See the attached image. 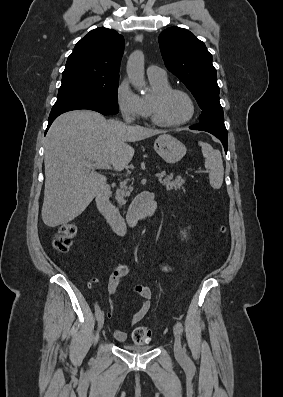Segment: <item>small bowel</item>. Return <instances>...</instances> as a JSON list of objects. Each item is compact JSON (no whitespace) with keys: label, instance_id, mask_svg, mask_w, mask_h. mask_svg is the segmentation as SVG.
<instances>
[{"label":"small bowel","instance_id":"c3829d8e","mask_svg":"<svg viewBox=\"0 0 283 397\" xmlns=\"http://www.w3.org/2000/svg\"><path fill=\"white\" fill-rule=\"evenodd\" d=\"M167 269V267H165ZM129 273V267L127 264L119 265L111 274L110 280L108 282V292L110 294L116 293L119 290L121 280ZM97 282V280H93ZM132 291L142 298V302L137 309V311L132 315L130 319V325H135L140 322L149 312L151 308V300L153 297V291L149 286L136 284L132 287ZM113 313V306H110L107 310L108 316ZM114 338L119 342H124L127 339V332L124 330H115Z\"/></svg>","mask_w":283,"mask_h":397}]
</instances>
